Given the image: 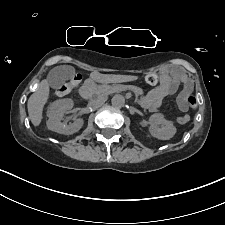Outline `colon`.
Masks as SVG:
<instances>
[{"mask_svg": "<svg viewBox=\"0 0 225 225\" xmlns=\"http://www.w3.org/2000/svg\"><path fill=\"white\" fill-rule=\"evenodd\" d=\"M79 81H80L79 77H74L69 84L63 85L59 88V93L67 94L78 85ZM145 81L150 85H156L161 81V77L157 73H150L146 75ZM188 106L192 110H195L197 108V100L194 96H190L188 98Z\"/></svg>", "mask_w": 225, "mask_h": 225, "instance_id": "obj_1", "label": "colon"}]
</instances>
